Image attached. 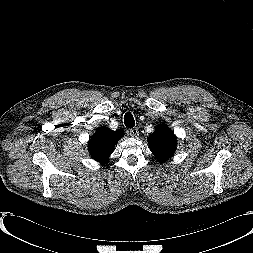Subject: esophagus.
Masks as SVG:
<instances>
[{
    "mask_svg": "<svg viewBox=\"0 0 253 253\" xmlns=\"http://www.w3.org/2000/svg\"><path fill=\"white\" fill-rule=\"evenodd\" d=\"M129 134L132 136V137H138L139 136V131H138V128L134 127L132 129L129 130Z\"/></svg>",
    "mask_w": 253,
    "mask_h": 253,
    "instance_id": "esophagus-1",
    "label": "esophagus"
}]
</instances>
